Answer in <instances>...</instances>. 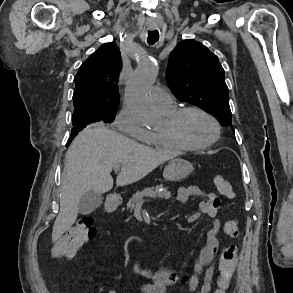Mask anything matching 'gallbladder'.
Masks as SVG:
<instances>
[{
    "label": "gallbladder",
    "mask_w": 293,
    "mask_h": 293,
    "mask_svg": "<svg viewBox=\"0 0 293 293\" xmlns=\"http://www.w3.org/2000/svg\"><path fill=\"white\" fill-rule=\"evenodd\" d=\"M102 202L103 197L101 194L89 191L80 198L78 204L79 213L82 215L90 214L99 208Z\"/></svg>",
    "instance_id": "1"
}]
</instances>
